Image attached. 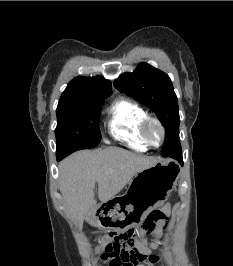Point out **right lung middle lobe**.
<instances>
[{
	"instance_id": "dd1d6c3e",
	"label": "right lung middle lobe",
	"mask_w": 233,
	"mask_h": 266,
	"mask_svg": "<svg viewBox=\"0 0 233 266\" xmlns=\"http://www.w3.org/2000/svg\"><path fill=\"white\" fill-rule=\"evenodd\" d=\"M104 98L59 102L56 110V156L93 148L100 143L99 116Z\"/></svg>"
}]
</instances>
